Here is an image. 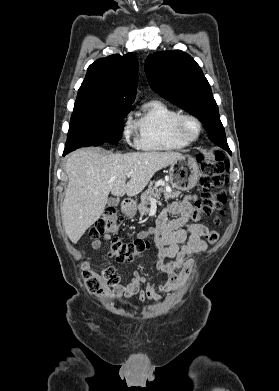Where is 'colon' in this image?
I'll use <instances>...</instances> for the list:
<instances>
[{"instance_id":"1","label":"colon","mask_w":279,"mask_h":391,"mask_svg":"<svg viewBox=\"0 0 279 391\" xmlns=\"http://www.w3.org/2000/svg\"><path fill=\"white\" fill-rule=\"evenodd\" d=\"M201 166V195L202 199L193 210V218L213 217L216 224L221 222L224 211L222 207L227 201L224 186L227 184L226 170L228 163L221 152L211 156H199ZM121 226V219L114 208H108L94 224L91 235L95 238L109 237V256L118 262L132 261L141 257L151 246L146 238H136L130 242H123L117 235ZM218 234L214 231L207 235L210 243L216 242ZM83 278L90 292L99 297H108L117 289L118 277L112 267L96 273L90 269L83 271Z\"/></svg>"}]
</instances>
